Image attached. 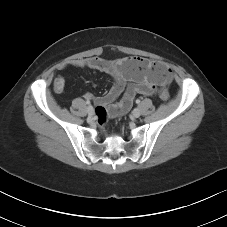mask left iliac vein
Wrapping results in <instances>:
<instances>
[{
	"label": "left iliac vein",
	"mask_w": 227,
	"mask_h": 227,
	"mask_svg": "<svg viewBox=\"0 0 227 227\" xmlns=\"http://www.w3.org/2000/svg\"><path fill=\"white\" fill-rule=\"evenodd\" d=\"M132 115H133L134 118L140 117V115H141L140 109L135 108V109L132 111Z\"/></svg>",
	"instance_id": "4c4485c4"
}]
</instances>
